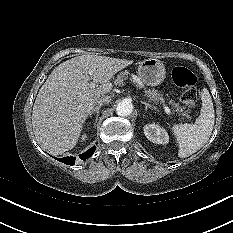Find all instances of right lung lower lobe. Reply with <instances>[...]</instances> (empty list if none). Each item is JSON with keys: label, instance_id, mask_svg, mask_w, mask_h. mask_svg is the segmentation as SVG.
<instances>
[{"label": "right lung lower lobe", "instance_id": "right-lung-lower-lobe-1", "mask_svg": "<svg viewBox=\"0 0 233 233\" xmlns=\"http://www.w3.org/2000/svg\"><path fill=\"white\" fill-rule=\"evenodd\" d=\"M96 147L93 146L92 148L88 149L85 153L79 155V158L82 159L83 161L89 158L95 151ZM60 162H63L67 165H74L76 158L75 157H64L57 159Z\"/></svg>", "mask_w": 233, "mask_h": 233}]
</instances>
